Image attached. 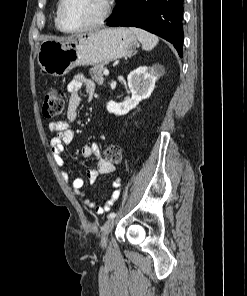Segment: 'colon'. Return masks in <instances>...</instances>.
<instances>
[{"instance_id":"1","label":"colon","mask_w":247,"mask_h":296,"mask_svg":"<svg viewBox=\"0 0 247 296\" xmlns=\"http://www.w3.org/2000/svg\"><path fill=\"white\" fill-rule=\"evenodd\" d=\"M65 106V96L61 90L51 88L44 96L43 115L48 119L55 118L62 114ZM104 159L113 165L122 162V151L118 145L110 144L104 150Z\"/></svg>"}]
</instances>
